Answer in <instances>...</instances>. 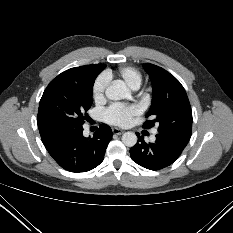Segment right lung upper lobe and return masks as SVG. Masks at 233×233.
I'll return each instance as SVG.
<instances>
[{"mask_svg": "<svg viewBox=\"0 0 233 233\" xmlns=\"http://www.w3.org/2000/svg\"><path fill=\"white\" fill-rule=\"evenodd\" d=\"M103 65L104 64L85 65L81 67L71 68L59 74L53 81H58V80H63V79H72V78L80 76L81 74H83L85 71H87L90 68L102 67Z\"/></svg>", "mask_w": 233, "mask_h": 233, "instance_id": "obj_1", "label": "right lung upper lobe"}]
</instances>
